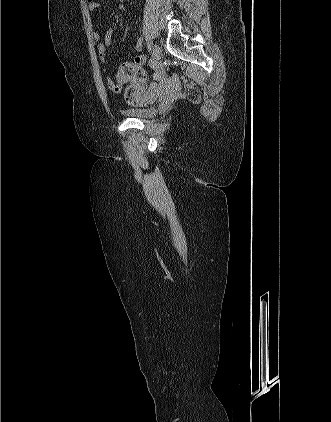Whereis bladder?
Masks as SVG:
<instances>
[{
    "instance_id": "1",
    "label": "bladder",
    "mask_w": 331,
    "mask_h": 422,
    "mask_svg": "<svg viewBox=\"0 0 331 422\" xmlns=\"http://www.w3.org/2000/svg\"><path fill=\"white\" fill-rule=\"evenodd\" d=\"M157 112L156 107L148 108H129L124 110V113L132 118L148 119L153 117Z\"/></svg>"
}]
</instances>
